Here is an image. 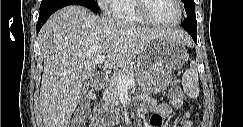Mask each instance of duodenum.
Returning a JSON list of instances; mask_svg holds the SVG:
<instances>
[{
  "label": "duodenum",
  "instance_id": "duodenum-1",
  "mask_svg": "<svg viewBox=\"0 0 243 127\" xmlns=\"http://www.w3.org/2000/svg\"><path fill=\"white\" fill-rule=\"evenodd\" d=\"M108 83V77L103 73H98L94 77L93 87L95 89H103ZM98 127H104L103 125H97Z\"/></svg>",
  "mask_w": 243,
  "mask_h": 127
}]
</instances>
